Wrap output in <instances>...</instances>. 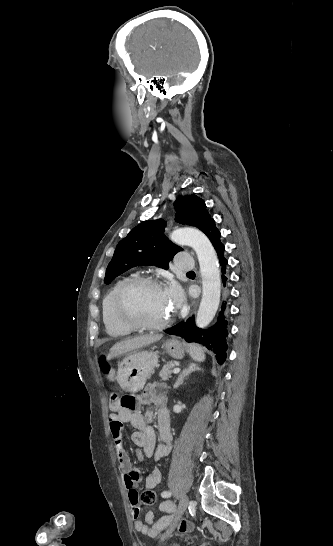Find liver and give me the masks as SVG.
I'll use <instances>...</instances> for the list:
<instances>
[{
  "label": "liver",
  "instance_id": "obj_1",
  "mask_svg": "<svg viewBox=\"0 0 333 546\" xmlns=\"http://www.w3.org/2000/svg\"><path fill=\"white\" fill-rule=\"evenodd\" d=\"M162 337L163 335L161 334L160 335L155 334V335H142V336L134 337L131 339H125L119 343H116L110 349V352L106 356V359L110 360L119 355H123L133 350L139 349L141 347L153 344L159 341Z\"/></svg>",
  "mask_w": 333,
  "mask_h": 546
}]
</instances>
